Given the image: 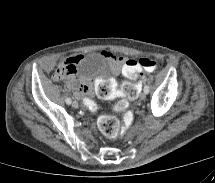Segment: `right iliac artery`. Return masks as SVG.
Listing matches in <instances>:
<instances>
[{
	"mask_svg": "<svg viewBox=\"0 0 215 183\" xmlns=\"http://www.w3.org/2000/svg\"><path fill=\"white\" fill-rule=\"evenodd\" d=\"M71 102H72V100H71L70 98H67V99H66V103H67L68 105H70Z\"/></svg>",
	"mask_w": 215,
	"mask_h": 183,
	"instance_id": "obj_1",
	"label": "right iliac artery"
}]
</instances>
